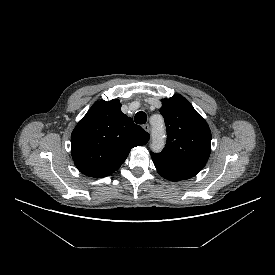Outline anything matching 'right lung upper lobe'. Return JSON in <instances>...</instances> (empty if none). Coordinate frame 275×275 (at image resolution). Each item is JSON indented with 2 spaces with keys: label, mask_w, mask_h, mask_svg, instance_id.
<instances>
[{
  "label": "right lung upper lobe",
  "mask_w": 275,
  "mask_h": 275,
  "mask_svg": "<svg viewBox=\"0 0 275 275\" xmlns=\"http://www.w3.org/2000/svg\"><path fill=\"white\" fill-rule=\"evenodd\" d=\"M148 140L149 134L122 113L119 100H100L72 132V158L84 175L103 178L123 164L131 148Z\"/></svg>",
  "instance_id": "right-lung-upper-lobe-1"
}]
</instances>
